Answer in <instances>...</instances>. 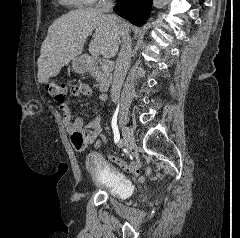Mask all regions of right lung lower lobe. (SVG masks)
Listing matches in <instances>:
<instances>
[{
	"mask_svg": "<svg viewBox=\"0 0 240 238\" xmlns=\"http://www.w3.org/2000/svg\"><path fill=\"white\" fill-rule=\"evenodd\" d=\"M152 0H117L114 12L132 24L143 25L149 17Z\"/></svg>",
	"mask_w": 240,
	"mask_h": 238,
	"instance_id": "98d812e1",
	"label": "right lung lower lobe"
}]
</instances>
